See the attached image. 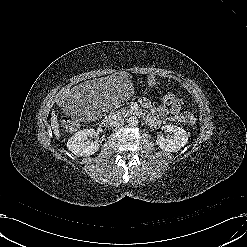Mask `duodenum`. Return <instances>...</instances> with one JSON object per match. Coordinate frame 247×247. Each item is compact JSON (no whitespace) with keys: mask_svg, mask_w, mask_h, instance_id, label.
Wrapping results in <instances>:
<instances>
[{"mask_svg":"<svg viewBox=\"0 0 247 247\" xmlns=\"http://www.w3.org/2000/svg\"><path fill=\"white\" fill-rule=\"evenodd\" d=\"M129 114L131 115H137L138 114V111L136 109H132L128 112ZM119 117L118 116H115V117H110L108 118L105 122H110V121H114V120H117Z\"/></svg>","mask_w":247,"mask_h":247,"instance_id":"obj_1","label":"duodenum"}]
</instances>
